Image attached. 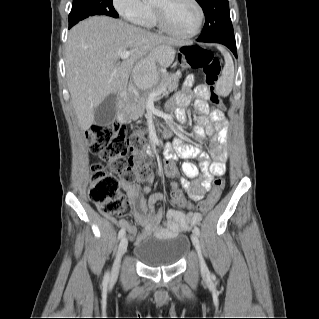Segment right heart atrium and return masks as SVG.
Listing matches in <instances>:
<instances>
[{
  "label": "right heart atrium",
  "mask_w": 319,
  "mask_h": 319,
  "mask_svg": "<svg viewBox=\"0 0 319 319\" xmlns=\"http://www.w3.org/2000/svg\"><path fill=\"white\" fill-rule=\"evenodd\" d=\"M116 11L129 23L143 25L147 5L143 0H113Z\"/></svg>",
  "instance_id": "1"
}]
</instances>
